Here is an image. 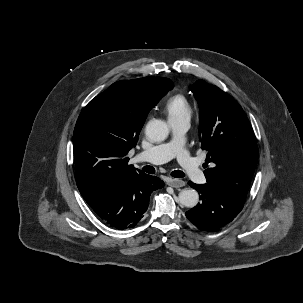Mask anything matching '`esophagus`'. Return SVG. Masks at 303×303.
<instances>
[{
    "label": "esophagus",
    "mask_w": 303,
    "mask_h": 303,
    "mask_svg": "<svg viewBox=\"0 0 303 303\" xmlns=\"http://www.w3.org/2000/svg\"><path fill=\"white\" fill-rule=\"evenodd\" d=\"M167 185H169L173 188H180V187L185 186V182L183 180H180V179L169 178L167 180Z\"/></svg>",
    "instance_id": "obj_1"
}]
</instances>
